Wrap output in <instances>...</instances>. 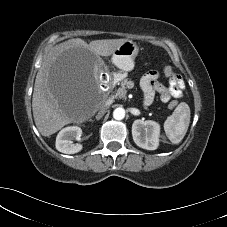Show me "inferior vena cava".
Listing matches in <instances>:
<instances>
[{
    "label": "inferior vena cava",
    "mask_w": 227,
    "mask_h": 227,
    "mask_svg": "<svg viewBox=\"0 0 227 227\" xmlns=\"http://www.w3.org/2000/svg\"><path fill=\"white\" fill-rule=\"evenodd\" d=\"M106 110H107L106 105H101L98 109V114L96 117L101 118L105 114Z\"/></svg>",
    "instance_id": "1"
}]
</instances>
